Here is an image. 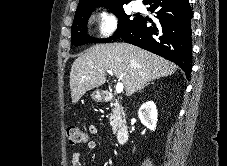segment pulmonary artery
<instances>
[{"instance_id":"e3ab8cb5","label":"pulmonary artery","mask_w":227,"mask_h":166,"mask_svg":"<svg viewBox=\"0 0 227 166\" xmlns=\"http://www.w3.org/2000/svg\"><path fill=\"white\" fill-rule=\"evenodd\" d=\"M134 11H141L143 10V5L139 2H136L132 5Z\"/></svg>"}]
</instances>
